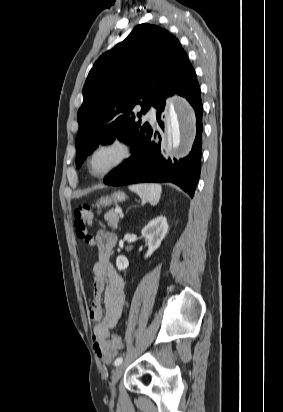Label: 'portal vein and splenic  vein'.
Wrapping results in <instances>:
<instances>
[{
    "mask_svg": "<svg viewBox=\"0 0 283 412\" xmlns=\"http://www.w3.org/2000/svg\"><path fill=\"white\" fill-rule=\"evenodd\" d=\"M115 212L118 213V214H122V209L117 207V208H115Z\"/></svg>",
    "mask_w": 283,
    "mask_h": 412,
    "instance_id": "obj_1",
    "label": "portal vein and splenic vein"
}]
</instances>
